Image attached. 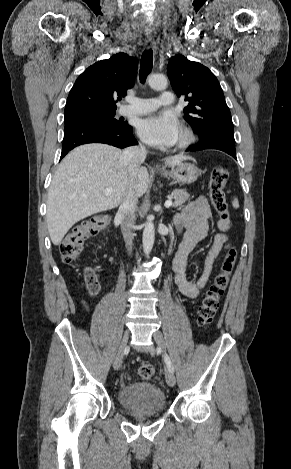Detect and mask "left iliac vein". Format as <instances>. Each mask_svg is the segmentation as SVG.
Returning a JSON list of instances; mask_svg holds the SVG:
<instances>
[{
	"label": "left iliac vein",
	"instance_id": "left-iliac-vein-1",
	"mask_svg": "<svg viewBox=\"0 0 291 469\" xmlns=\"http://www.w3.org/2000/svg\"><path fill=\"white\" fill-rule=\"evenodd\" d=\"M153 338H154V341L156 342V344L158 345L159 349L161 351H164L165 350V342H164L162 333L160 331H155L154 334H153ZM154 353H155V350L152 348L151 349V354H154ZM165 379H166L167 384L171 387H173L176 383L175 375L169 369H167L166 372H165Z\"/></svg>",
	"mask_w": 291,
	"mask_h": 469
}]
</instances>
